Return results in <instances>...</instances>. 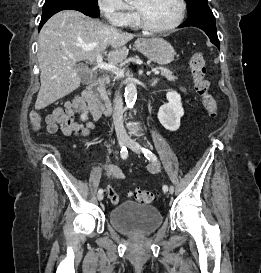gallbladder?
<instances>
[{
  "label": "gallbladder",
  "mask_w": 261,
  "mask_h": 273,
  "mask_svg": "<svg viewBox=\"0 0 261 273\" xmlns=\"http://www.w3.org/2000/svg\"><path fill=\"white\" fill-rule=\"evenodd\" d=\"M76 68L79 70V76L81 78L82 83L88 84L92 79L91 71L78 66Z\"/></svg>",
  "instance_id": "obj_1"
}]
</instances>
